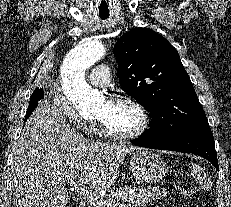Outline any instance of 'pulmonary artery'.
I'll use <instances>...</instances> for the list:
<instances>
[{
  "label": "pulmonary artery",
  "mask_w": 231,
  "mask_h": 207,
  "mask_svg": "<svg viewBox=\"0 0 231 207\" xmlns=\"http://www.w3.org/2000/svg\"><path fill=\"white\" fill-rule=\"evenodd\" d=\"M88 79L93 86L102 87L110 81V71L106 65H96L91 70Z\"/></svg>",
  "instance_id": "e3ab8cb5"
}]
</instances>
